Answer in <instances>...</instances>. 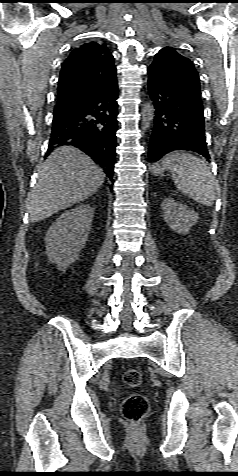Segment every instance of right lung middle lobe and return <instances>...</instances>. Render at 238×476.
<instances>
[{
	"label": "right lung middle lobe",
	"instance_id": "right-lung-middle-lobe-1",
	"mask_svg": "<svg viewBox=\"0 0 238 476\" xmlns=\"http://www.w3.org/2000/svg\"><path fill=\"white\" fill-rule=\"evenodd\" d=\"M72 110H62V111H54V118L65 117L69 114Z\"/></svg>",
	"mask_w": 238,
	"mask_h": 476
}]
</instances>
